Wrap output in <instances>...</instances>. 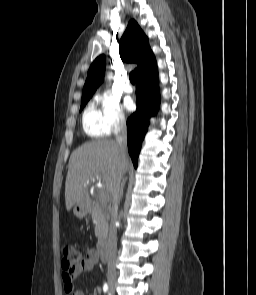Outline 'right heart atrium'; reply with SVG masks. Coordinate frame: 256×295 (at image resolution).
<instances>
[{"mask_svg": "<svg viewBox=\"0 0 256 295\" xmlns=\"http://www.w3.org/2000/svg\"><path fill=\"white\" fill-rule=\"evenodd\" d=\"M100 113L107 134H112L126 125V118L119 102L109 93L96 96Z\"/></svg>", "mask_w": 256, "mask_h": 295, "instance_id": "right-heart-atrium-1", "label": "right heart atrium"}]
</instances>
